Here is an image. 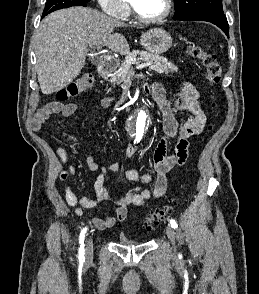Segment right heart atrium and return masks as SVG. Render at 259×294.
<instances>
[{
  "label": "right heart atrium",
  "mask_w": 259,
  "mask_h": 294,
  "mask_svg": "<svg viewBox=\"0 0 259 294\" xmlns=\"http://www.w3.org/2000/svg\"><path fill=\"white\" fill-rule=\"evenodd\" d=\"M103 11L119 20L128 17L130 8L126 0H98Z\"/></svg>",
  "instance_id": "obj_1"
}]
</instances>
